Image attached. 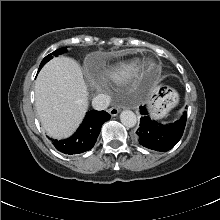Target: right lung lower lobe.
Here are the masks:
<instances>
[{"label":"right lung lower lobe","instance_id":"98d812e1","mask_svg":"<svg viewBox=\"0 0 220 220\" xmlns=\"http://www.w3.org/2000/svg\"><path fill=\"white\" fill-rule=\"evenodd\" d=\"M110 118L111 116L105 111L91 110L70 138L55 140L53 145L58 151L69 155L88 151L94 146L102 124Z\"/></svg>","mask_w":220,"mask_h":220}]
</instances>
